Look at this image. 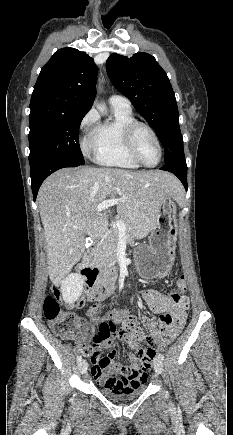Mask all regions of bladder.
Masks as SVG:
<instances>
[{"instance_id":"bladder-1","label":"bladder","mask_w":233,"mask_h":435,"mask_svg":"<svg viewBox=\"0 0 233 435\" xmlns=\"http://www.w3.org/2000/svg\"><path fill=\"white\" fill-rule=\"evenodd\" d=\"M144 390H145L144 382L138 385L133 391L125 392V393L119 392L117 389L111 386L100 387V391L103 395L115 401H125V400L134 399L137 396L141 395L144 392Z\"/></svg>"}]
</instances>
